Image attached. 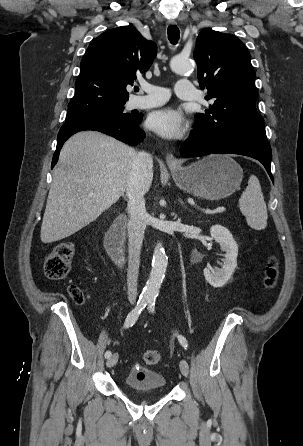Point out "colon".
<instances>
[{"mask_svg":"<svg viewBox=\"0 0 303 446\" xmlns=\"http://www.w3.org/2000/svg\"><path fill=\"white\" fill-rule=\"evenodd\" d=\"M75 253L74 244L71 242H62L58 244L44 260V273L52 280L64 279L71 268V260ZM279 276V265L276 257L271 256L266 264L264 271L263 284L266 290H271L276 286ZM68 293L76 304H83L85 295L80 287L70 285ZM144 363L155 365L160 361V353L156 350H146L142 354Z\"/></svg>","mask_w":303,"mask_h":446,"instance_id":"5ec220e1","label":"colon"}]
</instances>
